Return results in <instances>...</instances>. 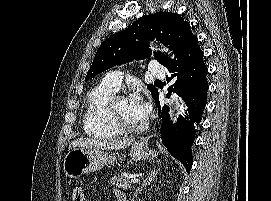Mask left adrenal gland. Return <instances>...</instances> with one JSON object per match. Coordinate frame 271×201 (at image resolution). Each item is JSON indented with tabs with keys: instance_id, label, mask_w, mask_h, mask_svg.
<instances>
[{
	"instance_id": "a2214340",
	"label": "left adrenal gland",
	"mask_w": 271,
	"mask_h": 201,
	"mask_svg": "<svg viewBox=\"0 0 271 201\" xmlns=\"http://www.w3.org/2000/svg\"><path fill=\"white\" fill-rule=\"evenodd\" d=\"M157 174H158V172H157L156 170H152V171L148 174L147 178H146V179L143 181V183L136 189L132 201L135 200V198L137 197L138 193H140L141 190H142L145 186H147L148 184H150V182H152V181L157 177Z\"/></svg>"
}]
</instances>
